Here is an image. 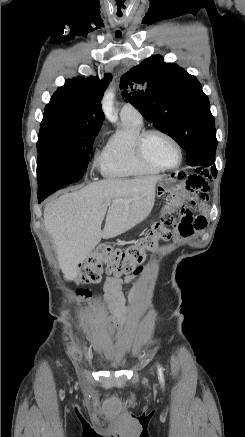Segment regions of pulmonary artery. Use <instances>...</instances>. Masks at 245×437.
Segmentation results:
<instances>
[{"mask_svg": "<svg viewBox=\"0 0 245 437\" xmlns=\"http://www.w3.org/2000/svg\"><path fill=\"white\" fill-rule=\"evenodd\" d=\"M120 116L123 118H130L135 120H142L140 112L131 104H124L120 111Z\"/></svg>", "mask_w": 245, "mask_h": 437, "instance_id": "e3ab8cb5", "label": "pulmonary artery"}]
</instances>
